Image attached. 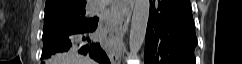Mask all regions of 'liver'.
Wrapping results in <instances>:
<instances>
[{
	"label": "liver",
	"mask_w": 242,
	"mask_h": 64,
	"mask_svg": "<svg viewBox=\"0 0 242 64\" xmlns=\"http://www.w3.org/2000/svg\"><path fill=\"white\" fill-rule=\"evenodd\" d=\"M49 64H97L89 57L79 55L77 53L57 54L49 60Z\"/></svg>",
	"instance_id": "obj_1"
}]
</instances>
